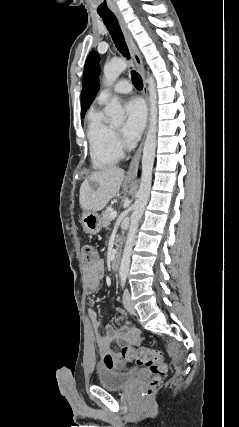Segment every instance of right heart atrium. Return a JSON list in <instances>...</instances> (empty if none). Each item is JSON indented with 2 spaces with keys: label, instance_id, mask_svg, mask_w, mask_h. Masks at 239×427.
Here are the masks:
<instances>
[{
  "label": "right heart atrium",
  "instance_id": "obj_1",
  "mask_svg": "<svg viewBox=\"0 0 239 427\" xmlns=\"http://www.w3.org/2000/svg\"><path fill=\"white\" fill-rule=\"evenodd\" d=\"M115 140H116L117 145L119 147H122V145H123L122 140L120 139V137L117 134H115Z\"/></svg>",
  "mask_w": 239,
  "mask_h": 427
}]
</instances>
